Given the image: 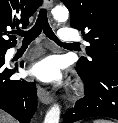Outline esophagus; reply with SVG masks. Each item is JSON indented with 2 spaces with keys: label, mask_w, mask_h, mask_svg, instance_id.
I'll list each match as a JSON object with an SVG mask.
<instances>
[{
  "label": "esophagus",
  "mask_w": 118,
  "mask_h": 123,
  "mask_svg": "<svg viewBox=\"0 0 118 123\" xmlns=\"http://www.w3.org/2000/svg\"><path fill=\"white\" fill-rule=\"evenodd\" d=\"M44 3H45V6L48 9H50L52 7L53 1L45 0ZM37 94H38V98H39L40 102L43 104L48 105L53 101L52 94L41 86L37 87Z\"/></svg>",
  "instance_id": "esophagus-1"
}]
</instances>
